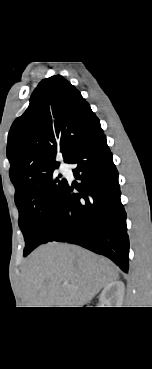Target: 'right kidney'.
<instances>
[{
    "instance_id": "right-kidney-1",
    "label": "right kidney",
    "mask_w": 152,
    "mask_h": 369,
    "mask_svg": "<svg viewBox=\"0 0 152 369\" xmlns=\"http://www.w3.org/2000/svg\"><path fill=\"white\" fill-rule=\"evenodd\" d=\"M125 286L122 281H113L108 284L100 295V302L106 307H120L123 302Z\"/></svg>"
}]
</instances>
